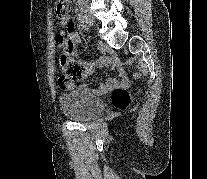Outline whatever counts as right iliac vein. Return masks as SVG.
Wrapping results in <instances>:
<instances>
[{
  "label": "right iliac vein",
  "mask_w": 207,
  "mask_h": 179,
  "mask_svg": "<svg viewBox=\"0 0 207 179\" xmlns=\"http://www.w3.org/2000/svg\"><path fill=\"white\" fill-rule=\"evenodd\" d=\"M83 16H84V18L86 19V21H87L90 25H94V24H95V19H94V17H93L91 14H89V13H87V12H84V13H83Z\"/></svg>",
  "instance_id": "obj_1"
}]
</instances>
